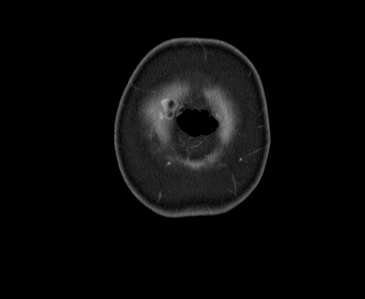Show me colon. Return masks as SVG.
<instances>
[{
    "instance_id": "1",
    "label": "colon",
    "mask_w": 365,
    "mask_h": 299,
    "mask_svg": "<svg viewBox=\"0 0 365 299\" xmlns=\"http://www.w3.org/2000/svg\"><path fill=\"white\" fill-rule=\"evenodd\" d=\"M178 120L189 135L208 134L214 126L212 118L203 111L183 109L178 114Z\"/></svg>"
}]
</instances>
